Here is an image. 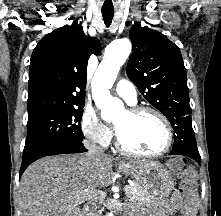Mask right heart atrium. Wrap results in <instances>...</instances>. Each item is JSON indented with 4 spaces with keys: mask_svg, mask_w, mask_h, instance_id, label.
<instances>
[{
    "mask_svg": "<svg viewBox=\"0 0 221 216\" xmlns=\"http://www.w3.org/2000/svg\"><path fill=\"white\" fill-rule=\"evenodd\" d=\"M81 131L87 140L102 147L108 146L113 136L111 127L102 121L93 108L84 110L81 117Z\"/></svg>",
    "mask_w": 221,
    "mask_h": 216,
    "instance_id": "obj_1",
    "label": "right heart atrium"
}]
</instances>
